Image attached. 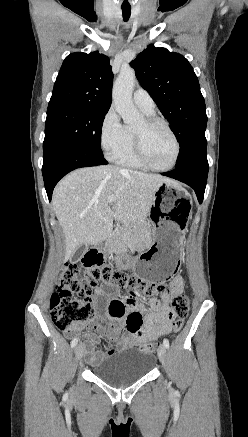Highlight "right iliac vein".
<instances>
[{
	"instance_id": "63e3f726",
	"label": "right iliac vein",
	"mask_w": 248,
	"mask_h": 437,
	"mask_svg": "<svg viewBox=\"0 0 248 437\" xmlns=\"http://www.w3.org/2000/svg\"><path fill=\"white\" fill-rule=\"evenodd\" d=\"M74 352H75L76 359L80 360V358L83 356V353H84V346L83 345H77L75 347Z\"/></svg>"
}]
</instances>
